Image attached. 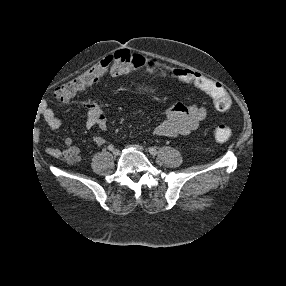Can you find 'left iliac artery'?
I'll return each mask as SVG.
<instances>
[{
	"label": "left iliac artery",
	"mask_w": 286,
	"mask_h": 286,
	"mask_svg": "<svg viewBox=\"0 0 286 286\" xmlns=\"http://www.w3.org/2000/svg\"><path fill=\"white\" fill-rule=\"evenodd\" d=\"M148 151H149V153L151 154V155H156L157 154V150L155 149V148H153V147H149L148 148Z\"/></svg>",
	"instance_id": "obj_1"
}]
</instances>
